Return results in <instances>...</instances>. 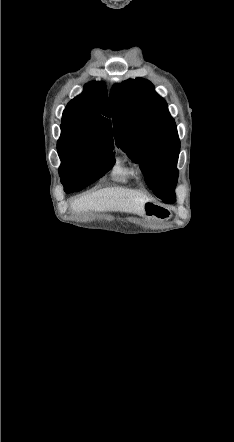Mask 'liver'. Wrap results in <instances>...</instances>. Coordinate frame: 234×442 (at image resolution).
Here are the masks:
<instances>
[{"label":"liver","instance_id":"obj_1","mask_svg":"<svg viewBox=\"0 0 234 442\" xmlns=\"http://www.w3.org/2000/svg\"><path fill=\"white\" fill-rule=\"evenodd\" d=\"M149 199L140 192L120 187L104 188L78 198L71 204L75 212L116 211L144 214V204Z\"/></svg>","mask_w":234,"mask_h":442}]
</instances>
